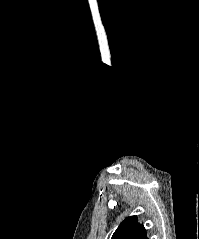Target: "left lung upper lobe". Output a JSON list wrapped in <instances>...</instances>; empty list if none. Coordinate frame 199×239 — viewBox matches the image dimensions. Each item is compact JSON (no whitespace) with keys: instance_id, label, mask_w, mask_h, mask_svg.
I'll use <instances>...</instances> for the list:
<instances>
[{"instance_id":"1","label":"left lung upper lobe","mask_w":199,"mask_h":239,"mask_svg":"<svg viewBox=\"0 0 199 239\" xmlns=\"http://www.w3.org/2000/svg\"><path fill=\"white\" fill-rule=\"evenodd\" d=\"M112 239H148L146 229L139 224L136 216H130L119 225Z\"/></svg>"}]
</instances>
